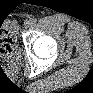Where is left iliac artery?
Listing matches in <instances>:
<instances>
[{
	"label": "left iliac artery",
	"instance_id": "obj_1",
	"mask_svg": "<svg viewBox=\"0 0 93 93\" xmlns=\"http://www.w3.org/2000/svg\"><path fill=\"white\" fill-rule=\"evenodd\" d=\"M36 22H37L36 18L32 19V23H36Z\"/></svg>",
	"mask_w": 93,
	"mask_h": 93
}]
</instances>
